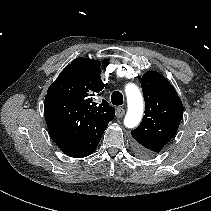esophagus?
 <instances>
[{
  "label": "esophagus",
  "mask_w": 211,
  "mask_h": 211,
  "mask_svg": "<svg viewBox=\"0 0 211 211\" xmlns=\"http://www.w3.org/2000/svg\"><path fill=\"white\" fill-rule=\"evenodd\" d=\"M124 114H125V110H124L123 108L119 107V108L116 109V116H117L118 118L123 117Z\"/></svg>",
  "instance_id": "obj_1"
}]
</instances>
